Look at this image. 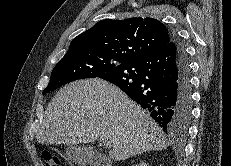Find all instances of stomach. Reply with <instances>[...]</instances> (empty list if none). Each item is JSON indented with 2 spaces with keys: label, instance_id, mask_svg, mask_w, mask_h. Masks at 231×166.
Listing matches in <instances>:
<instances>
[{
  "label": "stomach",
  "instance_id": "obj_1",
  "mask_svg": "<svg viewBox=\"0 0 231 166\" xmlns=\"http://www.w3.org/2000/svg\"><path fill=\"white\" fill-rule=\"evenodd\" d=\"M66 157L78 164H84L88 161L86 150L79 146H69L66 149Z\"/></svg>",
  "mask_w": 231,
  "mask_h": 166
}]
</instances>
